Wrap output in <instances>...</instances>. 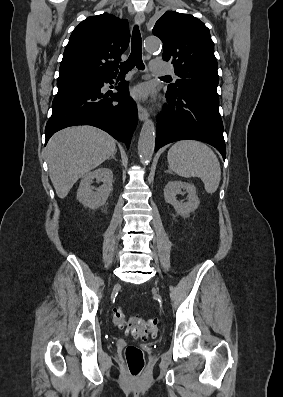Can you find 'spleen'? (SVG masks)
<instances>
[{"instance_id":"obj_1","label":"spleen","mask_w":283,"mask_h":397,"mask_svg":"<svg viewBox=\"0 0 283 397\" xmlns=\"http://www.w3.org/2000/svg\"><path fill=\"white\" fill-rule=\"evenodd\" d=\"M169 168L184 178L199 177L206 192H216L221 168L216 154L206 144L195 140L178 141L167 155Z\"/></svg>"}]
</instances>
